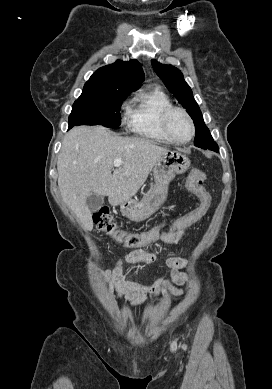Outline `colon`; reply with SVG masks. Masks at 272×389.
Wrapping results in <instances>:
<instances>
[{
  "instance_id": "obj_1",
  "label": "colon",
  "mask_w": 272,
  "mask_h": 389,
  "mask_svg": "<svg viewBox=\"0 0 272 389\" xmlns=\"http://www.w3.org/2000/svg\"><path fill=\"white\" fill-rule=\"evenodd\" d=\"M206 175L202 170L192 169L187 177V187L199 199V205L190 212L182 214L172 221L165 222L141 233H125L119 231L107 207H102L93 214V222L98 228L113 236L127 247L148 246L160 239L163 234L185 231L198 222L210 207V195L203 183Z\"/></svg>"
}]
</instances>
